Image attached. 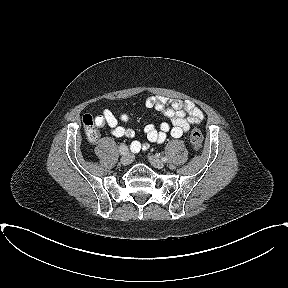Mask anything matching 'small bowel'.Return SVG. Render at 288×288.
I'll return each mask as SVG.
<instances>
[{"label":"small bowel","instance_id":"small-bowel-1","mask_svg":"<svg viewBox=\"0 0 288 288\" xmlns=\"http://www.w3.org/2000/svg\"><path fill=\"white\" fill-rule=\"evenodd\" d=\"M145 105L147 108L162 111L170 119L171 123L164 122L159 128L152 124L146 125L144 132L147 142L133 140L130 144V149L134 153L147 150L150 143H163L168 134L174 138H180L190 129L192 124H198L204 118L202 110L190 100L181 101L163 96H151L146 100ZM119 119L125 123L129 120V116L128 114H122ZM119 119L112 111L104 109L102 114L95 118V124L100 128L107 126L116 137L133 138L135 135L134 130L120 125Z\"/></svg>","mask_w":288,"mask_h":288}]
</instances>
